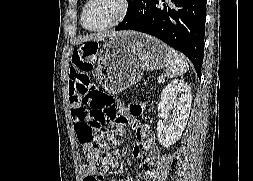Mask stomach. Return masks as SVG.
<instances>
[{
  "mask_svg": "<svg viewBox=\"0 0 253 181\" xmlns=\"http://www.w3.org/2000/svg\"><path fill=\"white\" fill-rule=\"evenodd\" d=\"M166 64V45L140 32H125L105 41L98 57V79L117 94L141 80L143 72Z\"/></svg>",
  "mask_w": 253,
  "mask_h": 181,
  "instance_id": "1",
  "label": "stomach"
}]
</instances>
